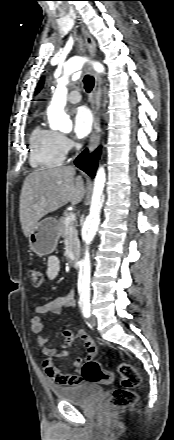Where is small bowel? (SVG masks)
Instances as JSON below:
<instances>
[{
  "label": "small bowel",
  "mask_w": 174,
  "mask_h": 440,
  "mask_svg": "<svg viewBox=\"0 0 174 440\" xmlns=\"http://www.w3.org/2000/svg\"><path fill=\"white\" fill-rule=\"evenodd\" d=\"M61 271V262L55 255H51L47 259L46 277L53 280L58 277ZM76 306L73 291H68L65 295L54 298L49 303L35 306L36 316L31 319V328L36 334V343L41 348L42 352L50 357L65 358L68 356V347L72 344L74 339H79L82 342V355L73 360V366L77 371H81L84 362L87 359H93L98 351V348L92 337L83 329L73 332L70 327L64 330L65 344L60 348H51L47 345L48 340L44 335V322L39 316L40 314L53 313L60 314L64 308L74 309ZM47 368L45 372L48 377L61 385L72 386L82 382V379L77 374H65L61 372L53 363L52 360H47L45 363Z\"/></svg>",
  "instance_id": "1"
}]
</instances>
